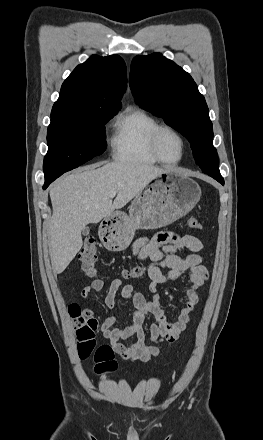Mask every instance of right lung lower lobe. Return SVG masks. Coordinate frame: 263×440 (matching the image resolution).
Instances as JSON below:
<instances>
[{"label": "right lung lower lobe", "instance_id": "1", "mask_svg": "<svg viewBox=\"0 0 263 440\" xmlns=\"http://www.w3.org/2000/svg\"><path fill=\"white\" fill-rule=\"evenodd\" d=\"M54 180H55V179H48V180H45V184H44L43 188L46 189V188L49 186V184H50L52 181H54Z\"/></svg>", "mask_w": 263, "mask_h": 440}]
</instances>
